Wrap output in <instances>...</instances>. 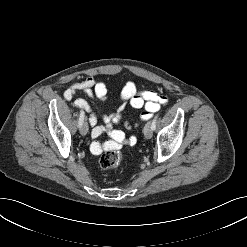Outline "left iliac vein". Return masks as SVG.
Masks as SVG:
<instances>
[{"label":"left iliac vein","instance_id":"1","mask_svg":"<svg viewBox=\"0 0 247 247\" xmlns=\"http://www.w3.org/2000/svg\"><path fill=\"white\" fill-rule=\"evenodd\" d=\"M153 135V130L151 128V123L148 122L146 123L145 127H144V136L147 138V139H150Z\"/></svg>","mask_w":247,"mask_h":247}]
</instances>
